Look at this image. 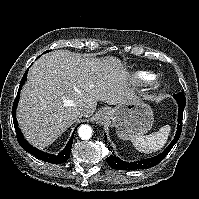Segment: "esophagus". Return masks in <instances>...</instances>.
<instances>
[{
	"instance_id": "esophagus-1",
	"label": "esophagus",
	"mask_w": 199,
	"mask_h": 199,
	"mask_svg": "<svg viewBox=\"0 0 199 199\" xmlns=\"http://www.w3.org/2000/svg\"><path fill=\"white\" fill-rule=\"evenodd\" d=\"M108 119V112L100 111L96 116V122L98 124H104Z\"/></svg>"
}]
</instances>
